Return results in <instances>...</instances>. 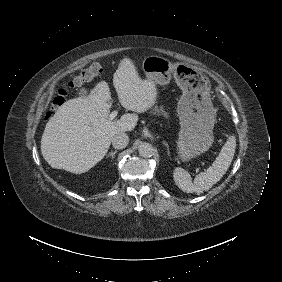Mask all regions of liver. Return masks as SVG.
Returning a JSON list of instances; mask_svg holds the SVG:
<instances>
[{
  "label": "liver",
  "mask_w": 282,
  "mask_h": 282,
  "mask_svg": "<svg viewBox=\"0 0 282 282\" xmlns=\"http://www.w3.org/2000/svg\"><path fill=\"white\" fill-rule=\"evenodd\" d=\"M113 85L121 105L136 113H144L154 106L157 88L151 80H142L129 58L119 63ZM111 93L101 81L85 97L63 103L46 124L41 139V153L45 161L56 169L81 174L103 159L114 135L132 131L138 115L124 114L109 120Z\"/></svg>",
  "instance_id": "liver-1"
}]
</instances>
